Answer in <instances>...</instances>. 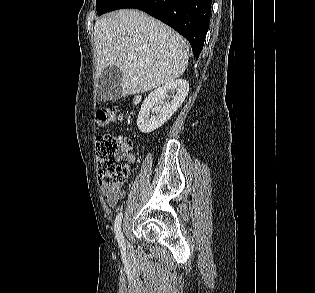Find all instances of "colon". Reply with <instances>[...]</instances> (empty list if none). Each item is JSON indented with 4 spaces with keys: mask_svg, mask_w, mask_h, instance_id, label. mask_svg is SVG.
I'll list each match as a JSON object with an SVG mask.
<instances>
[{
    "mask_svg": "<svg viewBox=\"0 0 315 293\" xmlns=\"http://www.w3.org/2000/svg\"><path fill=\"white\" fill-rule=\"evenodd\" d=\"M123 114L111 108L96 112V123L105 126L122 119ZM96 157L101 183L123 185L129 178L132 141L124 135H102L96 138Z\"/></svg>",
    "mask_w": 315,
    "mask_h": 293,
    "instance_id": "5ec220e1",
    "label": "colon"
}]
</instances>
